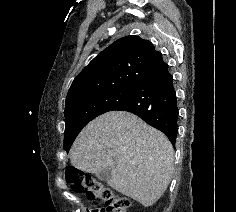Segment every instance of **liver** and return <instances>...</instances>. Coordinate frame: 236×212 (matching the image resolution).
I'll return each mask as SVG.
<instances>
[{
  "label": "liver",
  "mask_w": 236,
  "mask_h": 212,
  "mask_svg": "<svg viewBox=\"0 0 236 212\" xmlns=\"http://www.w3.org/2000/svg\"><path fill=\"white\" fill-rule=\"evenodd\" d=\"M174 150L168 138L136 115L107 112L91 121L71 148V164L85 172L111 170L108 185L138 201L153 205L167 189Z\"/></svg>",
  "instance_id": "6515ba94"
}]
</instances>
